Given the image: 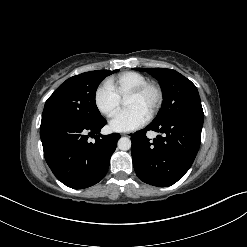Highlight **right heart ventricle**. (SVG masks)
I'll return each mask as SVG.
<instances>
[{"mask_svg": "<svg viewBox=\"0 0 247 247\" xmlns=\"http://www.w3.org/2000/svg\"><path fill=\"white\" fill-rule=\"evenodd\" d=\"M147 77L139 72L129 71L110 79L108 85L122 99L134 88L147 82Z\"/></svg>", "mask_w": 247, "mask_h": 247, "instance_id": "obj_1", "label": "right heart ventricle"}]
</instances>
